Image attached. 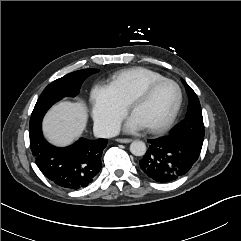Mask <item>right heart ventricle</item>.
<instances>
[{
  "label": "right heart ventricle",
  "instance_id": "1",
  "mask_svg": "<svg viewBox=\"0 0 241 241\" xmlns=\"http://www.w3.org/2000/svg\"><path fill=\"white\" fill-rule=\"evenodd\" d=\"M163 78H165L163 75L153 70L135 67L115 74L111 86L121 101L129 105L145 86Z\"/></svg>",
  "mask_w": 241,
  "mask_h": 241
}]
</instances>
